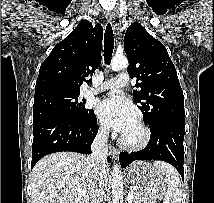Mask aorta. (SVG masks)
Instances as JSON below:
<instances>
[{
  "label": "aorta",
  "instance_id": "obj_1",
  "mask_svg": "<svg viewBox=\"0 0 214 203\" xmlns=\"http://www.w3.org/2000/svg\"><path fill=\"white\" fill-rule=\"evenodd\" d=\"M128 60L123 55H116L111 62L113 71H120L126 69ZM112 202L123 203V177L120 166L115 164L112 169Z\"/></svg>",
  "mask_w": 214,
  "mask_h": 203
}]
</instances>
